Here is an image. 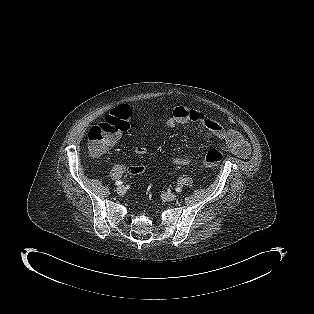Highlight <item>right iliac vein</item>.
I'll return each instance as SVG.
<instances>
[{"label":"right iliac vein","mask_w":314,"mask_h":314,"mask_svg":"<svg viewBox=\"0 0 314 314\" xmlns=\"http://www.w3.org/2000/svg\"><path fill=\"white\" fill-rule=\"evenodd\" d=\"M116 192L118 194L122 195L126 192V188L124 186H119V187H117Z\"/></svg>","instance_id":"1"}]
</instances>
